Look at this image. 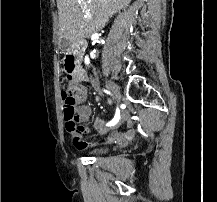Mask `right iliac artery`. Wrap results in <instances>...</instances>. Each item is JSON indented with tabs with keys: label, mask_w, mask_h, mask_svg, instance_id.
I'll return each mask as SVG.
<instances>
[{
	"label": "right iliac artery",
	"mask_w": 217,
	"mask_h": 202,
	"mask_svg": "<svg viewBox=\"0 0 217 202\" xmlns=\"http://www.w3.org/2000/svg\"><path fill=\"white\" fill-rule=\"evenodd\" d=\"M104 92L107 93V94H110V92L107 91V90H104ZM120 111L121 110L119 108L116 110L115 117L112 119V121H110L109 123H107L106 126H113V125H115L120 120V115H121Z\"/></svg>",
	"instance_id": "82829eb1"
}]
</instances>
